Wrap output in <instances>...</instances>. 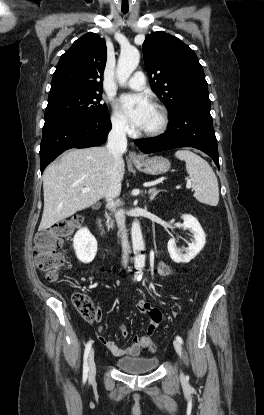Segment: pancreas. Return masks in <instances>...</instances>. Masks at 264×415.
<instances>
[{"instance_id": "pancreas-1", "label": "pancreas", "mask_w": 264, "mask_h": 415, "mask_svg": "<svg viewBox=\"0 0 264 415\" xmlns=\"http://www.w3.org/2000/svg\"><path fill=\"white\" fill-rule=\"evenodd\" d=\"M109 220H110V218H108L107 226H108V228H112L113 227V221L109 222Z\"/></svg>"}]
</instances>
